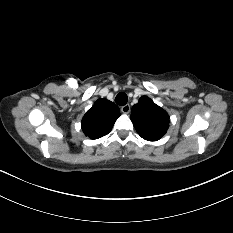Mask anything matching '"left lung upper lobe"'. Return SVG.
Masks as SVG:
<instances>
[{
	"mask_svg": "<svg viewBox=\"0 0 233 233\" xmlns=\"http://www.w3.org/2000/svg\"><path fill=\"white\" fill-rule=\"evenodd\" d=\"M130 118L139 135L148 141L159 140L169 127L167 112L147 96L133 106Z\"/></svg>",
	"mask_w": 233,
	"mask_h": 233,
	"instance_id": "1",
	"label": "left lung upper lobe"
}]
</instances>
